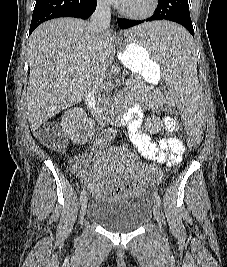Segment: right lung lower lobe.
<instances>
[{
  "instance_id": "1",
  "label": "right lung lower lobe",
  "mask_w": 227,
  "mask_h": 267,
  "mask_svg": "<svg viewBox=\"0 0 227 267\" xmlns=\"http://www.w3.org/2000/svg\"><path fill=\"white\" fill-rule=\"evenodd\" d=\"M96 9V0H37L29 34L42 22L59 17L89 18Z\"/></svg>"
}]
</instances>
